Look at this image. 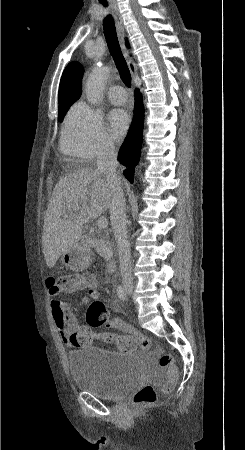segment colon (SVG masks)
<instances>
[{
    "label": "colon",
    "mask_w": 245,
    "mask_h": 450,
    "mask_svg": "<svg viewBox=\"0 0 245 450\" xmlns=\"http://www.w3.org/2000/svg\"><path fill=\"white\" fill-rule=\"evenodd\" d=\"M89 282V277L79 273L71 272L58 276L54 281L55 287L59 291H69L74 287L84 285ZM117 323L120 329L124 331H132V328L116 319H111L106 305L100 301H92L87 309V323L91 327L109 326L111 323ZM79 345H89L96 338V334L90 328H79L73 335ZM106 343H114L120 350H129L135 346L141 349H149L151 341L148 337L137 332L134 335H114L112 333H104L101 336ZM159 366L166 370V380L163 385L164 391H170L175 383L177 371L174 366L173 356L169 353L161 354L159 357ZM157 400L156 392L151 385L141 386L133 397V404L137 407L147 404H153Z\"/></svg>",
    "instance_id": "obj_1"
}]
</instances>
